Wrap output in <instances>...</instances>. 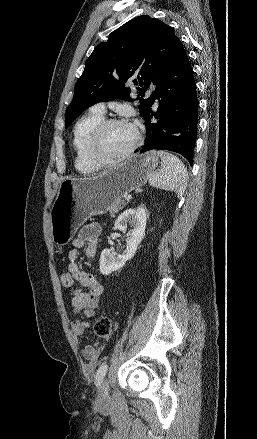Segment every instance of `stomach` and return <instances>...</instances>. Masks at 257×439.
<instances>
[{"instance_id": "stomach-1", "label": "stomach", "mask_w": 257, "mask_h": 439, "mask_svg": "<svg viewBox=\"0 0 257 439\" xmlns=\"http://www.w3.org/2000/svg\"><path fill=\"white\" fill-rule=\"evenodd\" d=\"M158 162L156 151H149L97 176L63 180L50 211L53 242L66 245L89 217L108 212L128 192L145 185Z\"/></svg>"}]
</instances>
